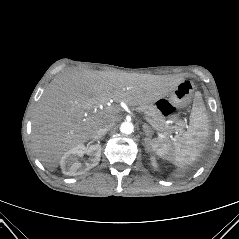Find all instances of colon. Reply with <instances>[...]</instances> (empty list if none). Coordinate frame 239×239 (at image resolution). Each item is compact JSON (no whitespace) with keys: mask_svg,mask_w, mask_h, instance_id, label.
Wrapping results in <instances>:
<instances>
[{"mask_svg":"<svg viewBox=\"0 0 239 239\" xmlns=\"http://www.w3.org/2000/svg\"><path fill=\"white\" fill-rule=\"evenodd\" d=\"M158 108L163 115L169 118L174 117L176 114V109L167 100H160L158 102Z\"/></svg>","mask_w":239,"mask_h":239,"instance_id":"colon-1","label":"colon"}]
</instances>
